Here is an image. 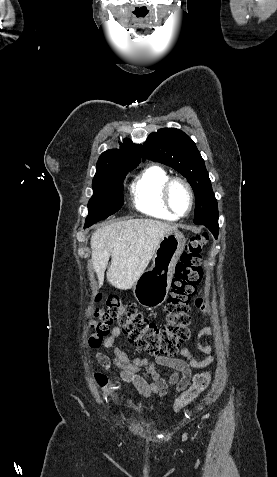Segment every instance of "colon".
Instances as JSON below:
<instances>
[{"instance_id":"5ec220e1","label":"colon","mask_w":277,"mask_h":477,"mask_svg":"<svg viewBox=\"0 0 277 477\" xmlns=\"http://www.w3.org/2000/svg\"><path fill=\"white\" fill-rule=\"evenodd\" d=\"M206 241L204 234L192 236L176 265L165 307V324L159 325L150 320L138 311L135 304H124L118 297L110 296L105 307H97L94 311L90 345L99 346L103 337L109 333L111 325L116 322L138 349L152 355H175L180 344L190 337V302L203 276L201 254ZM95 300L99 301L100 296ZM210 378L208 372L196 374L192 385L176 400L175 409L179 410L195 400L208 388ZM95 379L106 398L118 400L115 387L105 374L97 373Z\"/></svg>"}]
</instances>
